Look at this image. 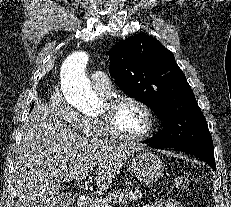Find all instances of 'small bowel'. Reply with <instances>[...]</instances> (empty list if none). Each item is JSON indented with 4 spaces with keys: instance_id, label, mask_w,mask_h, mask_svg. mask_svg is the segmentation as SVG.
<instances>
[{
    "instance_id": "small-bowel-1",
    "label": "small bowel",
    "mask_w": 231,
    "mask_h": 207,
    "mask_svg": "<svg viewBox=\"0 0 231 207\" xmlns=\"http://www.w3.org/2000/svg\"><path fill=\"white\" fill-rule=\"evenodd\" d=\"M142 207H182L177 201L172 199L156 200Z\"/></svg>"
}]
</instances>
